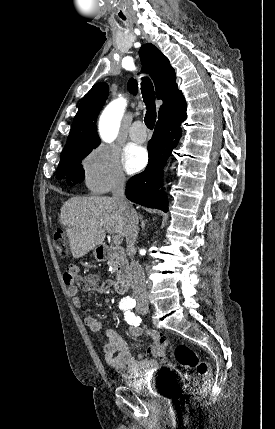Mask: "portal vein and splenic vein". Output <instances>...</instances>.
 <instances>
[{
  "label": "portal vein and splenic vein",
  "instance_id": "obj_1",
  "mask_svg": "<svg viewBox=\"0 0 275 429\" xmlns=\"http://www.w3.org/2000/svg\"><path fill=\"white\" fill-rule=\"evenodd\" d=\"M105 230L111 231L109 227H106ZM113 242L115 245H119L121 243V237L119 235L113 236Z\"/></svg>",
  "mask_w": 275,
  "mask_h": 429
}]
</instances>
